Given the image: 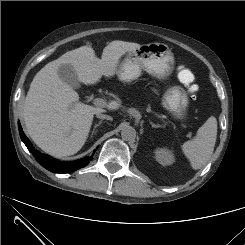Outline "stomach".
<instances>
[{"label": "stomach", "mask_w": 245, "mask_h": 245, "mask_svg": "<svg viewBox=\"0 0 245 245\" xmlns=\"http://www.w3.org/2000/svg\"><path fill=\"white\" fill-rule=\"evenodd\" d=\"M173 65L174 56L170 48L164 43L152 42L128 52L117 76L120 81L132 82L145 71L153 77L165 79L171 74ZM163 105L177 118H183L188 106L187 95L180 87H171L164 94Z\"/></svg>", "instance_id": "stomach-1"}]
</instances>
